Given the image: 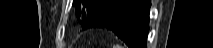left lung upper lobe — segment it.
<instances>
[{
    "instance_id": "left-lung-upper-lobe-1",
    "label": "left lung upper lobe",
    "mask_w": 213,
    "mask_h": 48,
    "mask_svg": "<svg viewBox=\"0 0 213 48\" xmlns=\"http://www.w3.org/2000/svg\"><path fill=\"white\" fill-rule=\"evenodd\" d=\"M112 0H74L77 18L84 26L90 18L103 6Z\"/></svg>"
}]
</instances>
